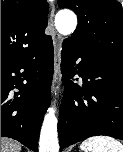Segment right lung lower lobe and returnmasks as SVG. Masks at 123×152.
<instances>
[{
    "instance_id": "1",
    "label": "right lung lower lobe",
    "mask_w": 123,
    "mask_h": 152,
    "mask_svg": "<svg viewBox=\"0 0 123 152\" xmlns=\"http://www.w3.org/2000/svg\"><path fill=\"white\" fill-rule=\"evenodd\" d=\"M53 71L51 37L23 59L1 62V137L13 138L38 151L40 127L50 104ZM14 88L19 92L13 94Z\"/></svg>"
}]
</instances>
